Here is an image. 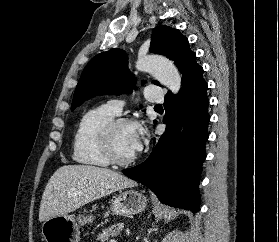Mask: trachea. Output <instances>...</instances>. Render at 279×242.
Listing matches in <instances>:
<instances>
[{
    "label": "trachea",
    "mask_w": 279,
    "mask_h": 242,
    "mask_svg": "<svg viewBox=\"0 0 279 242\" xmlns=\"http://www.w3.org/2000/svg\"><path fill=\"white\" fill-rule=\"evenodd\" d=\"M155 107L157 108V107H162V105L161 104H157V105H155Z\"/></svg>",
    "instance_id": "trachea-1"
}]
</instances>
